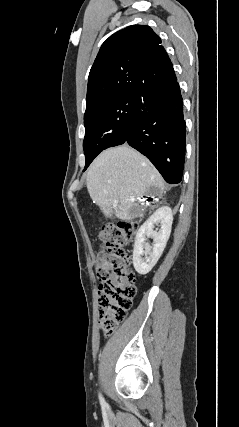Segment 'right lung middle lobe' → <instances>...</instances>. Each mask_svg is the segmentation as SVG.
<instances>
[{
    "instance_id": "obj_1",
    "label": "right lung middle lobe",
    "mask_w": 239,
    "mask_h": 427,
    "mask_svg": "<svg viewBox=\"0 0 239 427\" xmlns=\"http://www.w3.org/2000/svg\"><path fill=\"white\" fill-rule=\"evenodd\" d=\"M138 100L139 96H123L98 101L86 107L83 141L86 158L84 170L101 151L124 142Z\"/></svg>"
}]
</instances>
